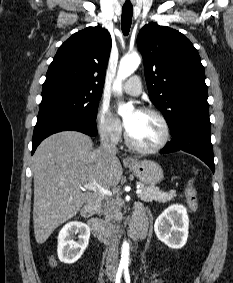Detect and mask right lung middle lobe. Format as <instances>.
Returning <instances> with one entry per match:
<instances>
[{"instance_id": "1", "label": "right lung middle lobe", "mask_w": 233, "mask_h": 283, "mask_svg": "<svg viewBox=\"0 0 233 283\" xmlns=\"http://www.w3.org/2000/svg\"><path fill=\"white\" fill-rule=\"evenodd\" d=\"M102 91H94L65 83H44L38 118L63 114L94 122Z\"/></svg>"}]
</instances>
